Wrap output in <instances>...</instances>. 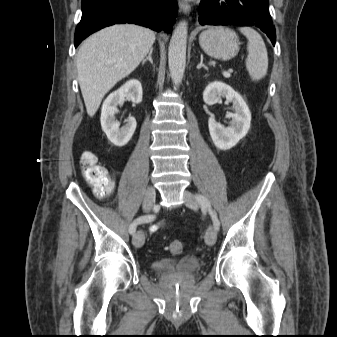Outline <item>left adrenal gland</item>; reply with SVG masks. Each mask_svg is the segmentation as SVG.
<instances>
[{"label":"left adrenal gland","instance_id":"obj_1","mask_svg":"<svg viewBox=\"0 0 337 337\" xmlns=\"http://www.w3.org/2000/svg\"><path fill=\"white\" fill-rule=\"evenodd\" d=\"M201 67L208 70V67L203 63V55H201V60L200 63L197 65V69H200Z\"/></svg>","mask_w":337,"mask_h":337}]
</instances>
